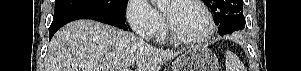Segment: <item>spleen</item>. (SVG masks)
<instances>
[{
  "mask_svg": "<svg viewBox=\"0 0 301 71\" xmlns=\"http://www.w3.org/2000/svg\"><path fill=\"white\" fill-rule=\"evenodd\" d=\"M225 58L226 71H245L242 62L233 52L226 51Z\"/></svg>",
  "mask_w": 301,
  "mask_h": 71,
  "instance_id": "obj_1",
  "label": "spleen"
}]
</instances>
